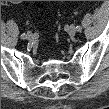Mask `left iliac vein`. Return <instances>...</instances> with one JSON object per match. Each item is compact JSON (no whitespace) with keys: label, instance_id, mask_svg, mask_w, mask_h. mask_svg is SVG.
<instances>
[{"label":"left iliac vein","instance_id":"obj_1","mask_svg":"<svg viewBox=\"0 0 109 109\" xmlns=\"http://www.w3.org/2000/svg\"><path fill=\"white\" fill-rule=\"evenodd\" d=\"M68 34L71 36V37H73L75 34H76V31H77V29H76V27L74 26V25H70L69 27H68Z\"/></svg>","mask_w":109,"mask_h":109}]
</instances>
